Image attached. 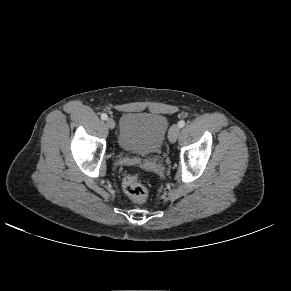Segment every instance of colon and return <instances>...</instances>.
Returning a JSON list of instances; mask_svg holds the SVG:
<instances>
[{
	"label": "colon",
	"mask_w": 291,
	"mask_h": 291,
	"mask_svg": "<svg viewBox=\"0 0 291 291\" xmlns=\"http://www.w3.org/2000/svg\"><path fill=\"white\" fill-rule=\"evenodd\" d=\"M122 188L125 194L135 203H142L148 197V189L136 174L123 177Z\"/></svg>",
	"instance_id": "5ec220e1"
}]
</instances>
